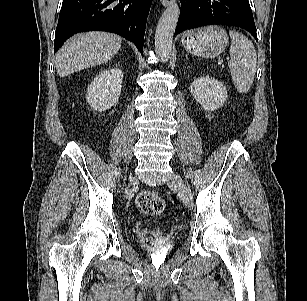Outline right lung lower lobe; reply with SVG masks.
Segmentation results:
<instances>
[{
  "label": "right lung lower lobe",
  "instance_id": "98d812e1",
  "mask_svg": "<svg viewBox=\"0 0 307 301\" xmlns=\"http://www.w3.org/2000/svg\"><path fill=\"white\" fill-rule=\"evenodd\" d=\"M152 0H63L54 52L78 32L119 34L143 52L146 20Z\"/></svg>",
  "mask_w": 307,
  "mask_h": 301
}]
</instances>
